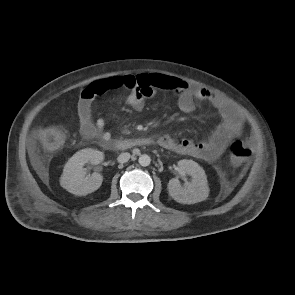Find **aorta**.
Segmentation results:
<instances>
[{
  "label": "aorta",
  "mask_w": 295,
  "mask_h": 295,
  "mask_svg": "<svg viewBox=\"0 0 295 295\" xmlns=\"http://www.w3.org/2000/svg\"><path fill=\"white\" fill-rule=\"evenodd\" d=\"M138 162H139V164H140L141 166L146 167V166H148V165L150 164V162H151V158H150L149 155H147V154H143V155H141V156L139 157Z\"/></svg>",
  "instance_id": "aorta-1"
}]
</instances>
